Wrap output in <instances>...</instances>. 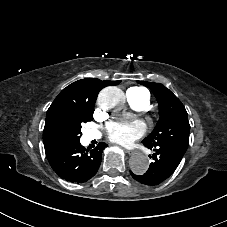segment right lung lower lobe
<instances>
[{"label":"right lung lower lobe","instance_id":"right-lung-lower-lobe-1","mask_svg":"<svg viewBox=\"0 0 227 227\" xmlns=\"http://www.w3.org/2000/svg\"><path fill=\"white\" fill-rule=\"evenodd\" d=\"M107 146L100 142L95 149L89 151L79 142L57 150L47 159L61 178L77 183L86 182L97 173L103 149Z\"/></svg>","mask_w":227,"mask_h":227}]
</instances>
